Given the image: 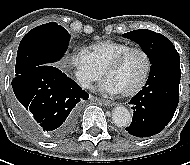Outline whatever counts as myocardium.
<instances>
[{
  "label": "myocardium",
  "instance_id": "obj_1",
  "mask_svg": "<svg viewBox=\"0 0 190 165\" xmlns=\"http://www.w3.org/2000/svg\"><path fill=\"white\" fill-rule=\"evenodd\" d=\"M132 52H140L144 56L145 62H146V67H145V71H144V74H143L141 80L133 88L123 91V92H119L123 96L135 95L145 86V84L149 78L151 69H152V60H151L149 53L142 47H129V48L125 49L124 51H122L121 53H119L106 66V68L104 70V76L107 79L108 74L111 71H113L114 69H116L123 62V60L126 58V56Z\"/></svg>",
  "mask_w": 190,
  "mask_h": 165
}]
</instances>
